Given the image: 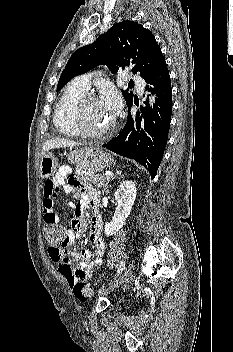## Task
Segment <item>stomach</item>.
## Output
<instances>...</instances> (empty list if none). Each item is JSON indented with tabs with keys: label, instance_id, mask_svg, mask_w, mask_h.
<instances>
[{
	"label": "stomach",
	"instance_id": "obj_1",
	"mask_svg": "<svg viewBox=\"0 0 233 352\" xmlns=\"http://www.w3.org/2000/svg\"><path fill=\"white\" fill-rule=\"evenodd\" d=\"M68 159L77 167L99 172L113 164V158L97 147H84L71 152ZM59 167L57 157L51 152L45 153L40 160L39 174L41 178H49Z\"/></svg>",
	"mask_w": 233,
	"mask_h": 352
}]
</instances>
